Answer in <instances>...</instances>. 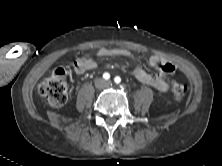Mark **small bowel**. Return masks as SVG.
I'll return each instance as SVG.
<instances>
[{
	"label": "small bowel",
	"instance_id": "small-bowel-1",
	"mask_svg": "<svg viewBox=\"0 0 222 166\" xmlns=\"http://www.w3.org/2000/svg\"><path fill=\"white\" fill-rule=\"evenodd\" d=\"M96 56L101 58L122 56L136 61L133 54L123 48H100L96 52ZM149 64L153 67H158V71L155 73L147 72L136 63L134 69L132 70V75L141 83L149 85L160 92H166L169 88L166 77L174 73L176 67L173 63L158 55H151L149 57ZM96 67V61L91 55L83 56L73 62V69L75 73L79 75L84 74L89 70H93Z\"/></svg>",
	"mask_w": 222,
	"mask_h": 166
}]
</instances>
